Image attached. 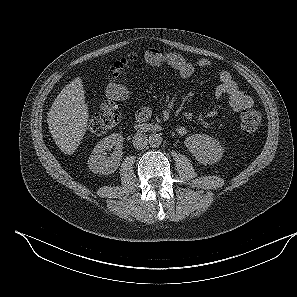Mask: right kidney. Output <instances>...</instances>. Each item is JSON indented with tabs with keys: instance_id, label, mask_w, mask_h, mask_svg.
<instances>
[{
	"instance_id": "right-kidney-1",
	"label": "right kidney",
	"mask_w": 297,
	"mask_h": 297,
	"mask_svg": "<svg viewBox=\"0 0 297 297\" xmlns=\"http://www.w3.org/2000/svg\"><path fill=\"white\" fill-rule=\"evenodd\" d=\"M113 148L114 151L110 156L106 150ZM123 136L119 133H113L100 140L94 147L89 160V169L96 174H111L120 165L122 160Z\"/></svg>"
}]
</instances>
